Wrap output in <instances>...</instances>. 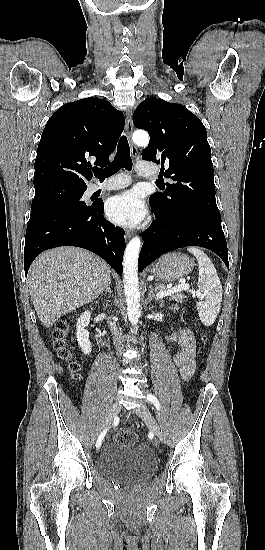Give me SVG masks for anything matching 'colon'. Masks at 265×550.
<instances>
[{
  "label": "colon",
  "mask_w": 265,
  "mask_h": 550,
  "mask_svg": "<svg viewBox=\"0 0 265 550\" xmlns=\"http://www.w3.org/2000/svg\"><path fill=\"white\" fill-rule=\"evenodd\" d=\"M71 331V324L69 320H61L56 324L55 330L53 332L54 337V347L57 351V355L62 360H70L71 353L67 347V338ZM202 340L206 342L207 337L203 336ZM70 370L72 373L73 379L77 380L80 378V366L77 362H70ZM137 441V436L135 433L122 430L115 434L114 442L117 444L124 445H133Z\"/></svg>",
  "instance_id": "colon-1"
}]
</instances>
